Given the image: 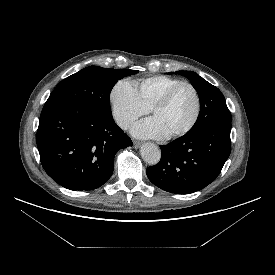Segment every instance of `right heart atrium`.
Returning a JSON list of instances; mask_svg holds the SVG:
<instances>
[{"label":"right heart atrium","instance_id":"d8ad5b80","mask_svg":"<svg viewBox=\"0 0 275 275\" xmlns=\"http://www.w3.org/2000/svg\"><path fill=\"white\" fill-rule=\"evenodd\" d=\"M109 100L113 118L122 129H128L148 112L139 98L136 85L127 79H122L113 86Z\"/></svg>","mask_w":275,"mask_h":275}]
</instances>
